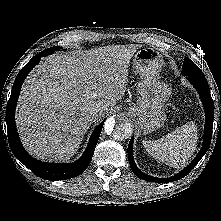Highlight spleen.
I'll return each instance as SVG.
<instances>
[{
    "label": "spleen",
    "instance_id": "obj_1",
    "mask_svg": "<svg viewBox=\"0 0 221 221\" xmlns=\"http://www.w3.org/2000/svg\"><path fill=\"white\" fill-rule=\"evenodd\" d=\"M197 139V127L193 122H188L159 140H144L143 145L155 159L168 166L180 168L193 155Z\"/></svg>",
    "mask_w": 221,
    "mask_h": 221
}]
</instances>
